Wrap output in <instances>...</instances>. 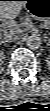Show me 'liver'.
<instances>
[{
	"label": "liver",
	"instance_id": "1",
	"mask_svg": "<svg viewBox=\"0 0 50 111\" xmlns=\"http://www.w3.org/2000/svg\"><path fill=\"white\" fill-rule=\"evenodd\" d=\"M25 5V0L1 1L0 16L2 19H14L19 15L22 7Z\"/></svg>",
	"mask_w": 50,
	"mask_h": 111
}]
</instances>
